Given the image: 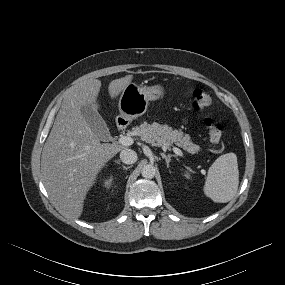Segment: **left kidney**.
<instances>
[{"label":"left kidney","mask_w":285,"mask_h":285,"mask_svg":"<svg viewBox=\"0 0 285 285\" xmlns=\"http://www.w3.org/2000/svg\"><path fill=\"white\" fill-rule=\"evenodd\" d=\"M184 176L186 177V178H190V174L188 173V172H186L185 174H184Z\"/></svg>","instance_id":"obj_1"}]
</instances>
